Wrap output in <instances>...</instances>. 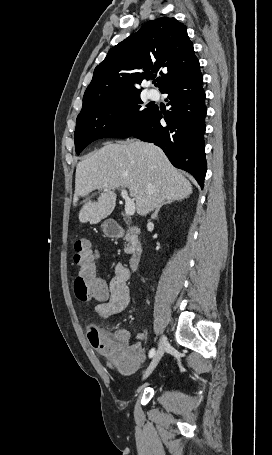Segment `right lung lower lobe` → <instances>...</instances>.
<instances>
[{
    "label": "right lung lower lobe",
    "instance_id": "obj_1",
    "mask_svg": "<svg viewBox=\"0 0 272 455\" xmlns=\"http://www.w3.org/2000/svg\"><path fill=\"white\" fill-rule=\"evenodd\" d=\"M202 83L199 70L162 90L168 94L170 110L162 113L156 108L131 135L162 148L170 162L191 173L201 188L207 170L203 139L207 108ZM162 118L166 123H160Z\"/></svg>",
    "mask_w": 272,
    "mask_h": 455
}]
</instances>
